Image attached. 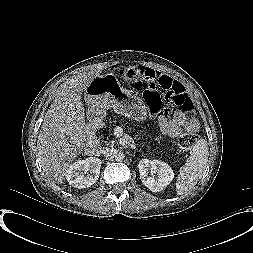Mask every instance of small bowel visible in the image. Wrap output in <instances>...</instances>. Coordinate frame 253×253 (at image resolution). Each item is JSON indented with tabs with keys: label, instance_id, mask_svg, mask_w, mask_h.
<instances>
[{
	"label": "small bowel",
	"instance_id": "obj_1",
	"mask_svg": "<svg viewBox=\"0 0 253 253\" xmlns=\"http://www.w3.org/2000/svg\"><path fill=\"white\" fill-rule=\"evenodd\" d=\"M149 70V69H148ZM151 73H156L161 80L164 82H168L169 84L173 85H181L178 81L171 78L170 76L154 71L149 70ZM182 86V85H181ZM159 126L161 132L170 137L175 138L179 135L187 132V133H194L198 129V122L196 119L188 118L185 113L182 111H176L173 117L169 120L165 118L159 119Z\"/></svg>",
	"mask_w": 253,
	"mask_h": 253
}]
</instances>
